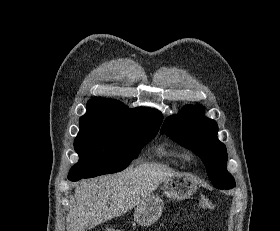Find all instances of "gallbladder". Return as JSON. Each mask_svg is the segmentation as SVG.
I'll use <instances>...</instances> for the list:
<instances>
[{
  "mask_svg": "<svg viewBox=\"0 0 280 231\" xmlns=\"http://www.w3.org/2000/svg\"><path fill=\"white\" fill-rule=\"evenodd\" d=\"M92 225H88V227H86V231H88V229H91Z\"/></svg>",
  "mask_w": 280,
  "mask_h": 231,
  "instance_id": "obj_1",
  "label": "gallbladder"
}]
</instances>
